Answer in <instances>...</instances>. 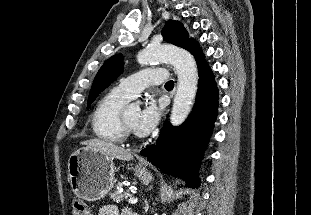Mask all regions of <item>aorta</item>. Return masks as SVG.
<instances>
[{"label": "aorta", "mask_w": 311, "mask_h": 215, "mask_svg": "<svg viewBox=\"0 0 311 215\" xmlns=\"http://www.w3.org/2000/svg\"><path fill=\"white\" fill-rule=\"evenodd\" d=\"M140 65L167 61L178 75L177 92L170 115L172 125L182 124L191 111L198 83V72L193 56L183 48L173 45H151L137 55Z\"/></svg>", "instance_id": "1"}]
</instances>
